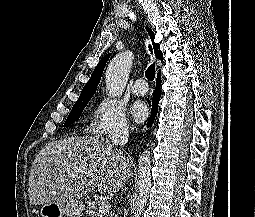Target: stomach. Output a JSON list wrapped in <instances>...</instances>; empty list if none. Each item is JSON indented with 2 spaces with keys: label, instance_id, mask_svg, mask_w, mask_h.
<instances>
[{
  "label": "stomach",
  "instance_id": "obj_1",
  "mask_svg": "<svg viewBox=\"0 0 255 217\" xmlns=\"http://www.w3.org/2000/svg\"><path fill=\"white\" fill-rule=\"evenodd\" d=\"M85 205L81 200L67 202H51L42 205L39 210L41 217H82Z\"/></svg>",
  "mask_w": 255,
  "mask_h": 217
}]
</instances>
